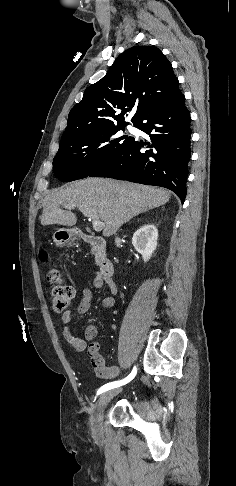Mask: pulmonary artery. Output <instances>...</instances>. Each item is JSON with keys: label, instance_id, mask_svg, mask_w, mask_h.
I'll return each mask as SVG.
<instances>
[{"label": "pulmonary artery", "instance_id": "pulmonary-artery-1", "mask_svg": "<svg viewBox=\"0 0 236 486\" xmlns=\"http://www.w3.org/2000/svg\"><path fill=\"white\" fill-rule=\"evenodd\" d=\"M128 129H129V131H131V132H134V131H135V128H134V127H132V126H129V127H128Z\"/></svg>", "mask_w": 236, "mask_h": 486}]
</instances>
